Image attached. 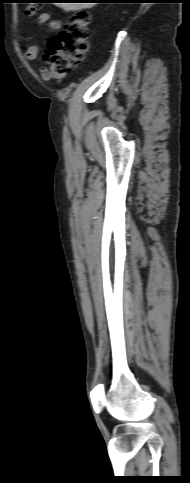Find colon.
Segmentation results:
<instances>
[{"mask_svg":"<svg viewBox=\"0 0 190 483\" xmlns=\"http://www.w3.org/2000/svg\"><path fill=\"white\" fill-rule=\"evenodd\" d=\"M37 4L26 9L33 16ZM90 15L86 10L78 11L60 33L48 42L44 61L45 72L51 79L61 80L74 67L80 65L88 50Z\"/></svg>","mask_w":190,"mask_h":483,"instance_id":"1","label":"colon"}]
</instances>
